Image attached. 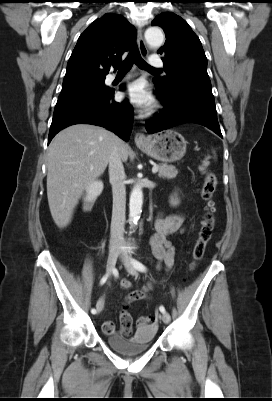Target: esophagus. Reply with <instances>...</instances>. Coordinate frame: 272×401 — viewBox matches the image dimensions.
Wrapping results in <instances>:
<instances>
[{"label":"esophagus","mask_w":272,"mask_h":401,"mask_svg":"<svg viewBox=\"0 0 272 401\" xmlns=\"http://www.w3.org/2000/svg\"><path fill=\"white\" fill-rule=\"evenodd\" d=\"M137 45H138L140 54L142 56L146 57L148 55V49H147L145 40L143 38L142 28H139L137 31ZM134 140H135L136 145H143V144L147 143V138H146L145 134L141 133V132L136 133Z\"/></svg>","instance_id":"34e87169"}]
</instances>
